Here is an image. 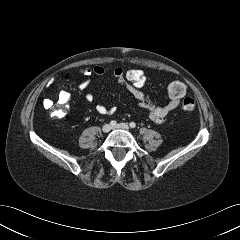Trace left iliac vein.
<instances>
[{
  "label": "left iliac vein",
  "instance_id": "left-iliac-vein-1",
  "mask_svg": "<svg viewBox=\"0 0 240 240\" xmlns=\"http://www.w3.org/2000/svg\"><path fill=\"white\" fill-rule=\"evenodd\" d=\"M112 129H123V130H129V126L126 123H119L112 127Z\"/></svg>",
  "mask_w": 240,
  "mask_h": 240
}]
</instances>
